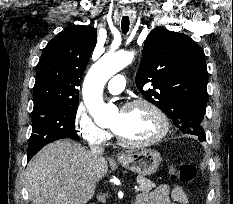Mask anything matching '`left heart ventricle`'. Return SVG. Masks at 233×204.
Wrapping results in <instances>:
<instances>
[{
    "mask_svg": "<svg viewBox=\"0 0 233 204\" xmlns=\"http://www.w3.org/2000/svg\"><path fill=\"white\" fill-rule=\"evenodd\" d=\"M111 128L130 141H144L155 136L161 129L156 115L147 107L138 106L117 112Z\"/></svg>",
    "mask_w": 233,
    "mask_h": 204,
    "instance_id": "b2bd125f",
    "label": "left heart ventricle"
}]
</instances>
